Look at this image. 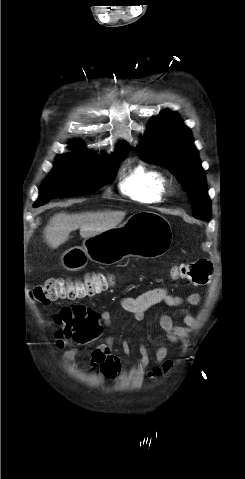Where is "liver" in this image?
I'll return each mask as SVG.
<instances>
[{
  "label": "liver",
  "mask_w": 245,
  "mask_h": 479,
  "mask_svg": "<svg viewBox=\"0 0 245 479\" xmlns=\"http://www.w3.org/2000/svg\"><path fill=\"white\" fill-rule=\"evenodd\" d=\"M126 213L123 211L87 212L82 214L58 213L44 228V237L48 245L56 249L66 242L69 234L77 229L84 239L116 228Z\"/></svg>",
  "instance_id": "obj_1"
}]
</instances>
